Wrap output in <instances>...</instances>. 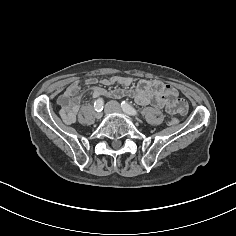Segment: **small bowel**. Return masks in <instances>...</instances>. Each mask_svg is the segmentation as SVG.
Returning a JSON list of instances; mask_svg holds the SVG:
<instances>
[{
  "mask_svg": "<svg viewBox=\"0 0 236 236\" xmlns=\"http://www.w3.org/2000/svg\"><path fill=\"white\" fill-rule=\"evenodd\" d=\"M104 86L116 85V88L107 92L103 88L95 87L97 83ZM134 79L129 76H114L98 81L95 78L86 80V89L80 82H71L58 99L59 113L66 124L75 121L79 111V104L86 90L92 92L94 97L108 95L113 98L131 97L139 105H152L158 109H164L169 114L184 115L188 105L185 100L178 97L177 91L169 84L155 79H141L135 87H130Z\"/></svg>",
  "mask_w": 236,
  "mask_h": 236,
  "instance_id": "small-bowel-1",
  "label": "small bowel"
}]
</instances>
